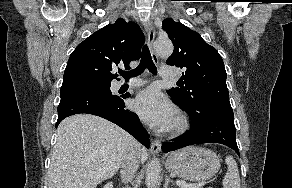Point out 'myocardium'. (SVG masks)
Segmentation results:
<instances>
[{
	"instance_id": "1",
	"label": "myocardium",
	"mask_w": 292,
	"mask_h": 188,
	"mask_svg": "<svg viewBox=\"0 0 292 188\" xmlns=\"http://www.w3.org/2000/svg\"><path fill=\"white\" fill-rule=\"evenodd\" d=\"M189 128V122L185 115L179 114L176 119L174 120V123L171 126V134L174 136L180 135L187 131Z\"/></svg>"
}]
</instances>
